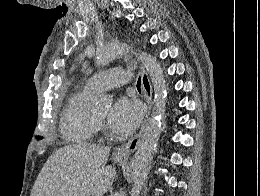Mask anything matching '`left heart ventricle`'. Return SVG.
I'll use <instances>...</instances> for the list:
<instances>
[{
	"mask_svg": "<svg viewBox=\"0 0 260 196\" xmlns=\"http://www.w3.org/2000/svg\"><path fill=\"white\" fill-rule=\"evenodd\" d=\"M95 115L104 123L106 124L107 123V118L109 116V109H104V110H101V111H96L94 112Z\"/></svg>",
	"mask_w": 260,
	"mask_h": 196,
	"instance_id": "b2bd125f",
	"label": "left heart ventricle"
}]
</instances>
